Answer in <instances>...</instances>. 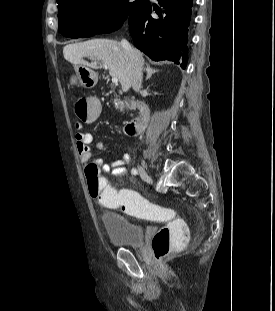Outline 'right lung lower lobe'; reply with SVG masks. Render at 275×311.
<instances>
[{
    "mask_svg": "<svg viewBox=\"0 0 275 311\" xmlns=\"http://www.w3.org/2000/svg\"><path fill=\"white\" fill-rule=\"evenodd\" d=\"M160 12L147 1L128 18L129 32L138 49L155 61L170 60L185 69L187 37L193 0H158ZM155 10L158 16L152 15ZM95 32L87 29L80 37Z\"/></svg>",
    "mask_w": 275,
    "mask_h": 311,
    "instance_id": "right-lung-lower-lobe-1",
    "label": "right lung lower lobe"
}]
</instances>
